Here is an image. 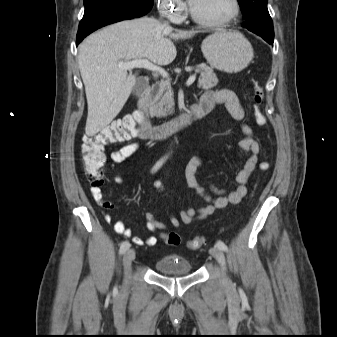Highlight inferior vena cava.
Masks as SVG:
<instances>
[{
    "mask_svg": "<svg viewBox=\"0 0 337 337\" xmlns=\"http://www.w3.org/2000/svg\"><path fill=\"white\" fill-rule=\"evenodd\" d=\"M164 25H165V26H168V24H167V23H165ZM168 27H169V26H168Z\"/></svg>",
    "mask_w": 337,
    "mask_h": 337,
    "instance_id": "obj_1",
    "label": "inferior vena cava"
}]
</instances>
